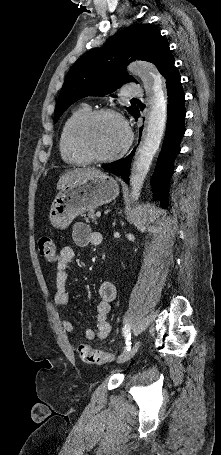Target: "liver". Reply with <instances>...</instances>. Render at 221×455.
Returning a JSON list of instances; mask_svg holds the SVG:
<instances>
[{"mask_svg": "<svg viewBox=\"0 0 221 455\" xmlns=\"http://www.w3.org/2000/svg\"><path fill=\"white\" fill-rule=\"evenodd\" d=\"M101 174L103 173L95 168H78L68 171L60 177L57 183V189L61 190L75 180L92 178Z\"/></svg>", "mask_w": 221, "mask_h": 455, "instance_id": "6515ba94", "label": "liver"}]
</instances>
